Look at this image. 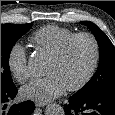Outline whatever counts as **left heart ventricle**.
Listing matches in <instances>:
<instances>
[{"label":"left heart ventricle","instance_id":"obj_1","mask_svg":"<svg viewBox=\"0 0 115 115\" xmlns=\"http://www.w3.org/2000/svg\"><path fill=\"white\" fill-rule=\"evenodd\" d=\"M93 60V47L87 39L76 40L60 62L50 59L46 69L47 75H55L66 87L80 82L88 73Z\"/></svg>","mask_w":115,"mask_h":115}]
</instances>
